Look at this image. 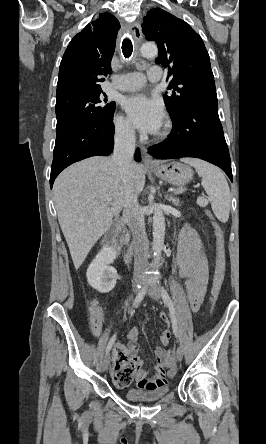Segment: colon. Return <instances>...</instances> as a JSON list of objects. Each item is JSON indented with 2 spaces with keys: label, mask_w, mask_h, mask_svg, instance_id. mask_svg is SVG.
<instances>
[{
  "label": "colon",
  "mask_w": 266,
  "mask_h": 444,
  "mask_svg": "<svg viewBox=\"0 0 266 444\" xmlns=\"http://www.w3.org/2000/svg\"><path fill=\"white\" fill-rule=\"evenodd\" d=\"M213 227L215 229L216 234V240H217V258H216V269H215V276H214V282L212 286V292H211V298H210V310L215 306V303L217 301V298L219 296L221 286L224 280L225 275V241H224V235L220 228V226L217 223H213ZM167 362L169 365L170 370L175 369L174 365V352L169 350L166 354Z\"/></svg>",
  "instance_id": "1"
}]
</instances>
